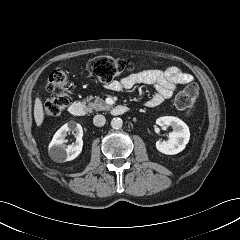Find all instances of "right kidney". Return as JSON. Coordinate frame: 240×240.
<instances>
[{"label": "right kidney", "instance_id": "ca27d5eb", "mask_svg": "<svg viewBox=\"0 0 240 240\" xmlns=\"http://www.w3.org/2000/svg\"><path fill=\"white\" fill-rule=\"evenodd\" d=\"M73 132L76 141L72 145H66L67 133ZM82 126L74 121L64 124L53 136L49 144V155L55 162L62 163L71 161L79 156L83 147Z\"/></svg>", "mask_w": 240, "mask_h": 240}]
</instances>
